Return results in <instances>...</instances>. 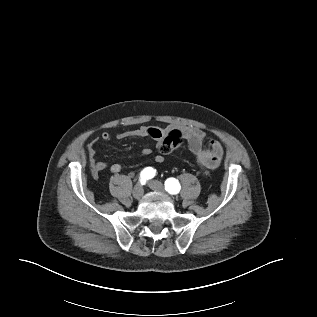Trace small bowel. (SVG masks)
Returning <instances> with one entry per match:
<instances>
[{
	"label": "small bowel",
	"mask_w": 317,
	"mask_h": 317,
	"mask_svg": "<svg viewBox=\"0 0 317 317\" xmlns=\"http://www.w3.org/2000/svg\"><path fill=\"white\" fill-rule=\"evenodd\" d=\"M188 144L189 150L195 156L198 165L205 171H211L217 168L223 158L224 148L221 142L217 140H211L208 145L204 146L206 138L205 132L193 126H186L180 130ZM167 131L152 126H142L133 130H126L119 132L115 135L118 140L137 138V137H151L158 143V153L154 155L153 159L157 163L164 161L163 153L160 152L159 146L162 142L163 136ZM112 139V135L109 132H103L101 134V140L108 142ZM152 149L144 148L141 151L143 156H149L152 154ZM97 149L95 142L90 143L88 146V157L90 169L93 176H97L99 172L109 169L113 174H117L121 171L122 167L118 163L108 165L106 162L99 161L96 157Z\"/></svg>",
	"instance_id": "obj_1"
}]
</instances>
